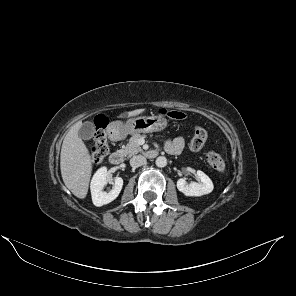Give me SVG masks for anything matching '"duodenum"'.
<instances>
[{
  "label": "duodenum",
  "instance_id": "obj_1",
  "mask_svg": "<svg viewBox=\"0 0 296 296\" xmlns=\"http://www.w3.org/2000/svg\"><path fill=\"white\" fill-rule=\"evenodd\" d=\"M108 134L112 140H119L122 136L121 131L115 127H111ZM149 156L153 157L155 154L151 152ZM109 161L113 165H120L123 161V153L121 151L113 152L109 157Z\"/></svg>",
  "mask_w": 296,
  "mask_h": 296
}]
</instances>
